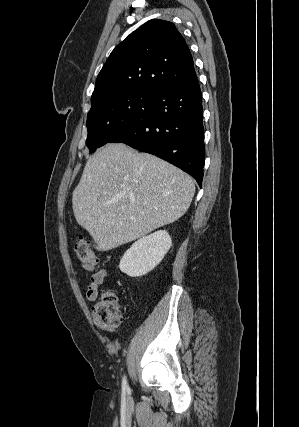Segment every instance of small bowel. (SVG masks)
I'll list each match as a JSON object with an SVG mask.
<instances>
[{"label": "small bowel", "mask_w": 299, "mask_h": 427, "mask_svg": "<svg viewBox=\"0 0 299 427\" xmlns=\"http://www.w3.org/2000/svg\"><path fill=\"white\" fill-rule=\"evenodd\" d=\"M92 270L91 268H87ZM108 275L106 269H101L93 273L90 277L89 284L86 289V298L88 301L93 302L98 298L99 287Z\"/></svg>", "instance_id": "1"}]
</instances>
